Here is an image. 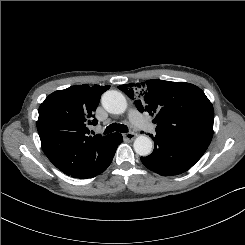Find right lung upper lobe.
I'll list each match as a JSON object with an SVG mask.
<instances>
[{
    "label": "right lung upper lobe",
    "mask_w": 245,
    "mask_h": 245,
    "mask_svg": "<svg viewBox=\"0 0 245 245\" xmlns=\"http://www.w3.org/2000/svg\"><path fill=\"white\" fill-rule=\"evenodd\" d=\"M110 86L83 84L50 94L39 107L37 130L48 159L63 173L85 178L102 162L113 134L88 136L94 111Z\"/></svg>",
    "instance_id": "cb5924a9"
}]
</instances>
